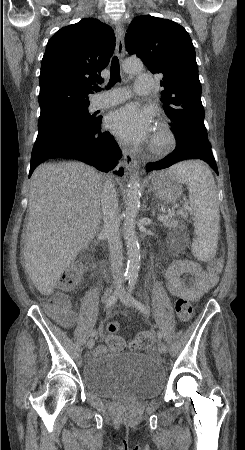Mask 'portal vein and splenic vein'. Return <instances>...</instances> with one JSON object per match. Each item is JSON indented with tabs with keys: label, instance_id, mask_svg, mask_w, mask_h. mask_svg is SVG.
Listing matches in <instances>:
<instances>
[{
	"label": "portal vein and splenic vein",
	"instance_id": "obj_1",
	"mask_svg": "<svg viewBox=\"0 0 245 450\" xmlns=\"http://www.w3.org/2000/svg\"><path fill=\"white\" fill-rule=\"evenodd\" d=\"M184 210H190V207H189V205H188L187 202L184 203ZM174 215H175V212H174V211H171V212H169V213L166 214V215H161V216H159V217H158V220L161 221V222H163V221L167 220L169 217H172V216H174Z\"/></svg>",
	"mask_w": 245,
	"mask_h": 450
}]
</instances>
